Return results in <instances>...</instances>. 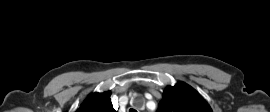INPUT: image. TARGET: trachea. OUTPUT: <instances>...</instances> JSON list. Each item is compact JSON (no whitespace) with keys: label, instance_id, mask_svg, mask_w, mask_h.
<instances>
[{"label":"trachea","instance_id":"3493384b","mask_svg":"<svg viewBox=\"0 0 270 112\" xmlns=\"http://www.w3.org/2000/svg\"><path fill=\"white\" fill-rule=\"evenodd\" d=\"M129 112H137L135 109H130Z\"/></svg>","mask_w":270,"mask_h":112}]
</instances>
